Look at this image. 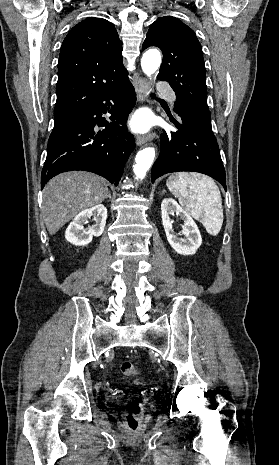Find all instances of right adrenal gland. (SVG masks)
Listing matches in <instances>:
<instances>
[{
    "label": "right adrenal gland",
    "mask_w": 279,
    "mask_h": 465,
    "mask_svg": "<svg viewBox=\"0 0 279 465\" xmlns=\"http://www.w3.org/2000/svg\"><path fill=\"white\" fill-rule=\"evenodd\" d=\"M106 198H109L111 200V193L110 192H108V195H107Z\"/></svg>",
    "instance_id": "obj_1"
}]
</instances>
